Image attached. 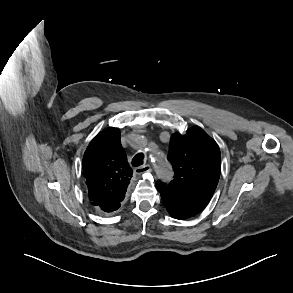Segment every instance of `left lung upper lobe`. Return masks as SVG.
Returning a JSON list of instances; mask_svg holds the SVG:
<instances>
[{
	"label": "left lung upper lobe",
	"mask_w": 293,
	"mask_h": 293,
	"mask_svg": "<svg viewBox=\"0 0 293 293\" xmlns=\"http://www.w3.org/2000/svg\"><path fill=\"white\" fill-rule=\"evenodd\" d=\"M168 159L175 171L174 179L169 184L159 181L156 188L162 197L198 214L210 201L219 181V146L200 127H193L185 135H172Z\"/></svg>",
	"instance_id": "5c2ea615"
}]
</instances>
